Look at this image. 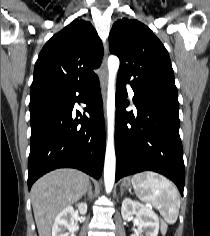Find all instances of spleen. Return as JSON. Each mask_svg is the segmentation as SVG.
Masks as SVG:
<instances>
[{
    "instance_id": "3e777b00",
    "label": "spleen",
    "mask_w": 210,
    "mask_h": 236,
    "mask_svg": "<svg viewBox=\"0 0 210 236\" xmlns=\"http://www.w3.org/2000/svg\"><path fill=\"white\" fill-rule=\"evenodd\" d=\"M135 193L142 201L151 203L164 220L173 224L178 218L180 199L177 189L165 177L154 172L138 173L132 177Z\"/></svg>"
}]
</instances>
